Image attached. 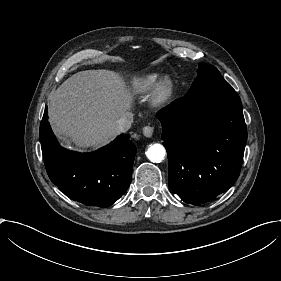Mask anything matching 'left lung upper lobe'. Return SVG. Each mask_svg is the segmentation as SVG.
Here are the masks:
<instances>
[{"label": "left lung upper lobe", "mask_w": 281, "mask_h": 281, "mask_svg": "<svg viewBox=\"0 0 281 281\" xmlns=\"http://www.w3.org/2000/svg\"><path fill=\"white\" fill-rule=\"evenodd\" d=\"M218 90H233V88L213 65L200 63L197 77L185 96Z\"/></svg>", "instance_id": "obj_1"}]
</instances>
